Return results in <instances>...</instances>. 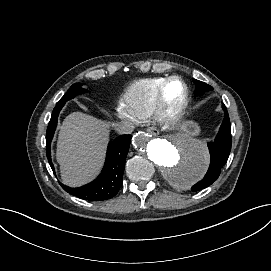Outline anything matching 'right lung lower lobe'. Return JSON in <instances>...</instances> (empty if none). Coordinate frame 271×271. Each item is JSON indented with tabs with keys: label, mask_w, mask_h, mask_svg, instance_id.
<instances>
[{
	"label": "right lung lower lobe",
	"mask_w": 271,
	"mask_h": 271,
	"mask_svg": "<svg viewBox=\"0 0 271 271\" xmlns=\"http://www.w3.org/2000/svg\"><path fill=\"white\" fill-rule=\"evenodd\" d=\"M64 104L56 105L46 132V154L50 166L55 173L51 161L50 144L57 126L59 112ZM131 135H121L109 143L104 168L93 182L79 187L70 188L60 183L68 193L88 201H103L114 197L122 185L125 161L129 150Z\"/></svg>",
	"instance_id": "right-lung-lower-lobe-1"
}]
</instances>
